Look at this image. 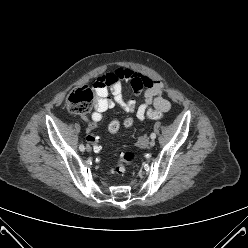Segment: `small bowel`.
Listing matches in <instances>:
<instances>
[{
    "mask_svg": "<svg viewBox=\"0 0 248 248\" xmlns=\"http://www.w3.org/2000/svg\"><path fill=\"white\" fill-rule=\"evenodd\" d=\"M125 82L130 84L136 95L141 93L144 95V102L137 109L134 99L123 97L122 84ZM94 88L96 92L94 111L91 120L85 118L89 122V127L94 129L103 119V114L114 105L120 106L126 113H132L136 109V118L139 122H143L153 110L164 113L170 109V102L163 95V82L127 68L118 67L103 73Z\"/></svg>",
    "mask_w": 248,
    "mask_h": 248,
    "instance_id": "small-bowel-1",
    "label": "small bowel"
}]
</instances>
